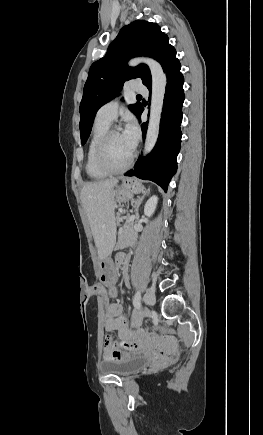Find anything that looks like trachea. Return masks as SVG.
Wrapping results in <instances>:
<instances>
[{
  "label": "trachea",
  "instance_id": "1",
  "mask_svg": "<svg viewBox=\"0 0 263 435\" xmlns=\"http://www.w3.org/2000/svg\"><path fill=\"white\" fill-rule=\"evenodd\" d=\"M137 97L141 98V95H138Z\"/></svg>",
  "mask_w": 263,
  "mask_h": 435
}]
</instances>
